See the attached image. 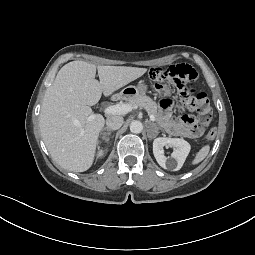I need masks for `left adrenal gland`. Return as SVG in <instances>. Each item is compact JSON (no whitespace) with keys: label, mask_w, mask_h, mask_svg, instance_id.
Segmentation results:
<instances>
[{"label":"left adrenal gland","mask_w":255,"mask_h":255,"mask_svg":"<svg viewBox=\"0 0 255 255\" xmlns=\"http://www.w3.org/2000/svg\"><path fill=\"white\" fill-rule=\"evenodd\" d=\"M152 128H155L157 129L156 125L153 124V123H150V126H149V130H148V136H149V132L151 131Z\"/></svg>","instance_id":"1"}]
</instances>
